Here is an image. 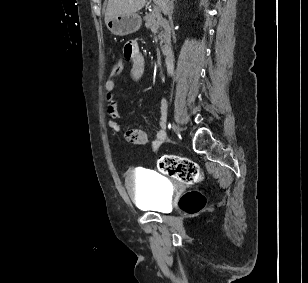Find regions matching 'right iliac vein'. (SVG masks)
Wrapping results in <instances>:
<instances>
[{
    "label": "right iliac vein",
    "mask_w": 308,
    "mask_h": 283,
    "mask_svg": "<svg viewBox=\"0 0 308 283\" xmlns=\"http://www.w3.org/2000/svg\"><path fill=\"white\" fill-rule=\"evenodd\" d=\"M173 128L176 130V131H179V126L178 125H173Z\"/></svg>",
    "instance_id": "right-iliac-vein-1"
}]
</instances>
